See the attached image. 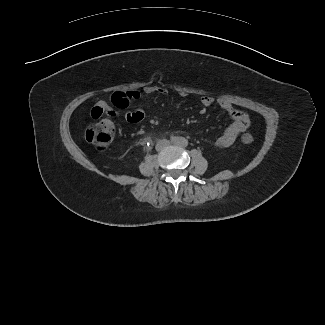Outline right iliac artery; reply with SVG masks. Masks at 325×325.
<instances>
[{
    "instance_id": "82829eb1",
    "label": "right iliac artery",
    "mask_w": 325,
    "mask_h": 325,
    "mask_svg": "<svg viewBox=\"0 0 325 325\" xmlns=\"http://www.w3.org/2000/svg\"><path fill=\"white\" fill-rule=\"evenodd\" d=\"M171 140H172V141L175 140V137L172 136V137H171Z\"/></svg>"
}]
</instances>
